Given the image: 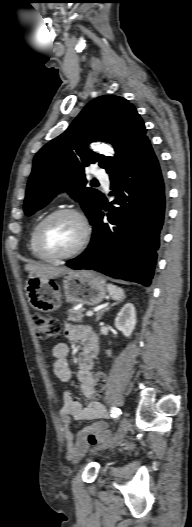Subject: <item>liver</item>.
Wrapping results in <instances>:
<instances>
[{
    "label": "liver",
    "instance_id": "1",
    "mask_svg": "<svg viewBox=\"0 0 192 527\" xmlns=\"http://www.w3.org/2000/svg\"><path fill=\"white\" fill-rule=\"evenodd\" d=\"M25 270L29 271L31 276L42 277V278H57L62 274L72 272L67 267H59L54 265L40 264L36 262L28 263L25 265Z\"/></svg>",
    "mask_w": 192,
    "mask_h": 527
}]
</instances>
